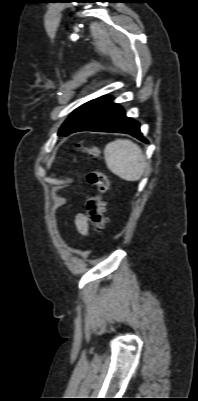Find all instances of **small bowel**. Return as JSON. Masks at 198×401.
<instances>
[{
  "label": "small bowel",
  "instance_id": "obj_1",
  "mask_svg": "<svg viewBox=\"0 0 198 401\" xmlns=\"http://www.w3.org/2000/svg\"><path fill=\"white\" fill-rule=\"evenodd\" d=\"M75 226L77 231L82 235L89 233L88 219L85 214L79 213L75 218Z\"/></svg>",
  "mask_w": 198,
  "mask_h": 401
}]
</instances>
